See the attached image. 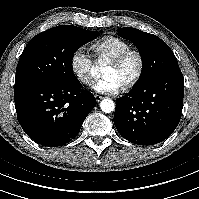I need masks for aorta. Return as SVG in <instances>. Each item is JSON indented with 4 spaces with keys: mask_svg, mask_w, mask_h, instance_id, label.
<instances>
[{
    "mask_svg": "<svg viewBox=\"0 0 199 199\" xmlns=\"http://www.w3.org/2000/svg\"><path fill=\"white\" fill-rule=\"evenodd\" d=\"M100 109L105 113H111L115 109V104L111 99H104L100 102Z\"/></svg>",
    "mask_w": 199,
    "mask_h": 199,
    "instance_id": "762f6f07",
    "label": "aorta"
}]
</instances>
